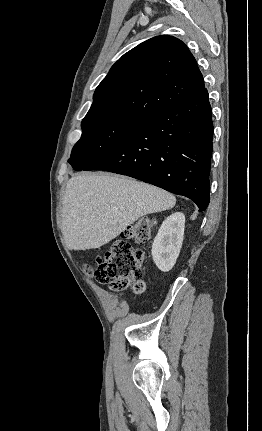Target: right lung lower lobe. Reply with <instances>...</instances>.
I'll return each mask as SVG.
<instances>
[{"label": "right lung lower lobe", "mask_w": 262, "mask_h": 431, "mask_svg": "<svg viewBox=\"0 0 262 431\" xmlns=\"http://www.w3.org/2000/svg\"><path fill=\"white\" fill-rule=\"evenodd\" d=\"M213 123L208 92L137 123L84 170L127 175L193 200L209 203Z\"/></svg>", "instance_id": "right-lung-lower-lobe-1"}]
</instances>
